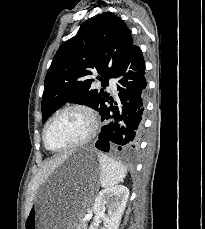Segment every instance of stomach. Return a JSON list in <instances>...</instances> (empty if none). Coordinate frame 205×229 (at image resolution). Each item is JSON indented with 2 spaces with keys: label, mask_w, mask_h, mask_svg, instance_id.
Wrapping results in <instances>:
<instances>
[{
  "label": "stomach",
  "mask_w": 205,
  "mask_h": 229,
  "mask_svg": "<svg viewBox=\"0 0 205 229\" xmlns=\"http://www.w3.org/2000/svg\"><path fill=\"white\" fill-rule=\"evenodd\" d=\"M101 176L92 150L74 151L62 166L59 186L36 198L24 229H78Z\"/></svg>",
  "instance_id": "0dacf381"
}]
</instances>
